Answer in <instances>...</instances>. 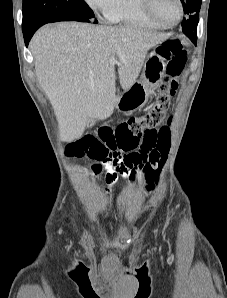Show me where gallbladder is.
I'll list each match as a JSON object with an SVG mask.
<instances>
[{"label": "gallbladder", "mask_w": 227, "mask_h": 298, "mask_svg": "<svg viewBox=\"0 0 227 298\" xmlns=\"http://www.w3.org/2000/svg\"><path fill=\"white\" fill-rule=\"evenodd\" d=\"M92 124H93V120H91V121L87 124V127L92 126Z\"/></svg>", "instance_id": "gallbladder-1"}]
</instances>
